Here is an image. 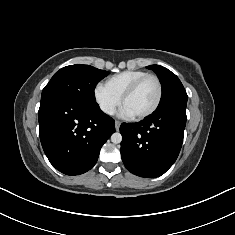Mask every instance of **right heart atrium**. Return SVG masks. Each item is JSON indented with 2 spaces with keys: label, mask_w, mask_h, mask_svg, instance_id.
I'll return each mask as SVG.
<instances>
[{
  "label": "right heart atrium",
  "mask_w": 235,
  "mask_h": 235,
  "mask_svg": "<svg viewBox=\"0 0 235 235\" xmlns=\"http://www.w3.org/2000/svg\"><path fill=\"white\" fill-rule=\"evenodd\" d=\"M94 98L100 110L107 115H112L120 104V98L103 83H98L95 86Z\"/></svg>",
  "instance_id": "1"
}]
</instances>
